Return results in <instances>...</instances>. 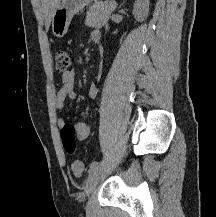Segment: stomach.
Masks as SVG:
<instances>
[{
	"label": "stomach",
	"mask_w": 216,
	"mask_h": 217,
	"mask_svg": "<svg viewBox=\"0 0 216 217\" xmlns=\"http://www.w3.org/2000/svg\"><path fill=\"white\" fill-rule=\"evenodd\" d=\"M97 0H61L52 18V32L55 37H63L73 16L82 11L91 2Z\"/></svg>",
	"instance_id": "1"
}]
</instances>
